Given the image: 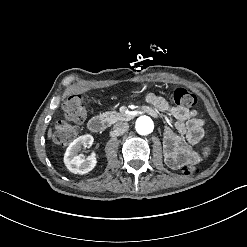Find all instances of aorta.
<instances>
[{"label": "aorta", "mask_w": 247, "mask_h": 247, "mask_svg": "<svg viewBox=\"0 0 247 247\" xmlns=\"http://www.w3.org/2000/svg\"><path fill=\"white\" fill-rule=\"evenodd\" d=\"M154 129V123L148 116H141L136 121V130L141 135H148Z\"/></svg>", "instance_id": "aorta-1"}]
</instances>
